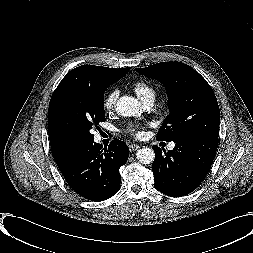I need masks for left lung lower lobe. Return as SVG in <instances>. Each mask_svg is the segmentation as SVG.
Wrapping results in <instances>:
<instances>
[{"label": "left lung lower lobe", "mask_w": 253, "mask_h": 253, "mask_svg": "<svg viewBox=\"0 0 253 253\" xmlns=\"http://www.w3.org/2000/svg\"><path fill=\"white\" fill-rule=\"evenodd\" d=\"M172 151L152 146L154 186L171 197H181L194 191L206 177L214 160L218 138L195 136L179 139Z\"/></svg>", "instance_id": "0a47b994"}]
</instances>
